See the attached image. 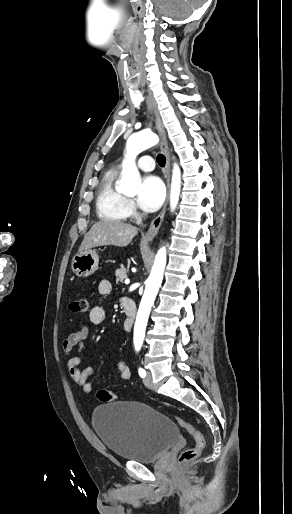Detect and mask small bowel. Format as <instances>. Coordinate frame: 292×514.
Segmentation results:
<instances>
[{
	"label": "small bowel",
	"instance_id": "1",
	"mask_svg": "<svg viewBox=\"0 0 292 514\" xmlns=\"http://www.w3.org/2000/svg\"><path fill=\"white\" fill-rule=\"evenodd\" d=\"M111 291L112 285L108 280H101L98 283V292L101 295H108ZM105 319L106 312L104 308L100 305L94 306L86 320H82L73 326L62 344L64 352L69 356L67 372L74 383L86 393H91L94 390L93 383L89 379L94 377L95 371L91 367H87L84 370L79 369L78 366L81 362L79 354L85 348L84 342L89 337L91 328L102 325ZM74 349H76L77 354L71 355ZM115 371L117 378L122 381H127L132 376L130 368L124 361H119L115 364Z\"/></svg>",
	"mask_w": 292,
	"mask_h": 514
}]
</instances>
